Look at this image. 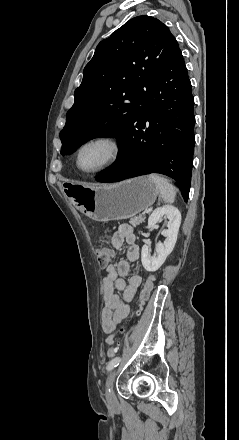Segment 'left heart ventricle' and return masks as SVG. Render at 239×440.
I'll use <instances>...</instances> for the list:
<instances>
[{"label": "left heart ventricle", "instance_id": "1", "mask_svg": "<svg viewBox=\"0 0 239 440\" xmlns=\"http://www.w3.org/2000/svg\"><path fill=\"white\" fill-rule=\"evenodd\" d=\"M110 147L105 143H94L87 146L80 156V168L93 170L103 165L110 157Z\"/></svg>", "mask_w": 239, "mask_h": 440}]
</instances>
